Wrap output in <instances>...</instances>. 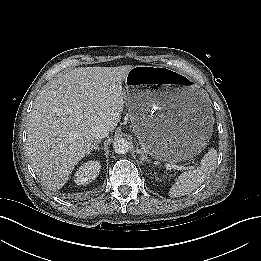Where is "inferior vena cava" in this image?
<instances>
[{"mask_svg":"<svg viewBox=\"0 0 261 261\" xmlns=\"http://www.w3.org/2000/svg\"><path fill=\"white\" fill-rule=\"evenodd\" d=\"M93 136L96 139H102L108 136L109 129L104 125H98L92 128Z\"/></svg>","mask_w":261,"mask_h":261,"instance_id":"inferior-vena-cava-1","label":"inferior vena cava"}]
</instances>
